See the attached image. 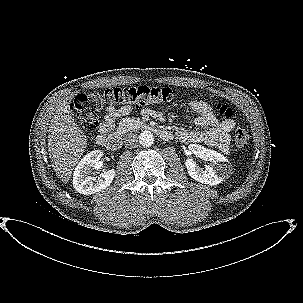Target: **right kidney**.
I'll list each match as a JSON object with an SVG mask.
<instances>
[{
    "instance_id": "1",
    "label": "right kidney",
    "mask_w": 303,
    "mask_h": 303,
    "mask_svg": "<svg viewBox=\"0 0 303 303\" xmlns=\"http://www.w3.org/2000/svg\"><path fill=\"white\" fill-rule=\"evenodd\" d=\"M103 156L101 150H94L86 154L78 163L73 174V187L78 193L91 195L107 188L115 177V170L103 171L98 178L89 176L92 169L99 167V160Z\"/></svg>"
}]
</instances>
